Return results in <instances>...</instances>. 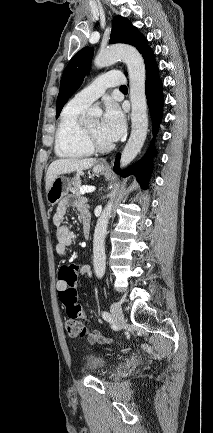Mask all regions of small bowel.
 I'll list each match as a JSON object with an SVG mask.
<instances>
[{"mask_svg":"<svg viewBox=\"0 0 213 433\" xmlns=\"http://www.w3.org/2000/svg\"><path fill=\"white\" fill-rule=\"evenodd\" d=\"M71 205L75 206L79 212L82 228H84V226H90L91 216L85 201L82 199L71 201L69 198H64L58 204L53 216V224L55 226V236L57 241L55 251L59 256H65L67 254L68 249L72 245L75 238L74 231L65 223V216L69 206ZM72 266L75 267L78 274L85 275L87 277L92 276V268L89 264ZM63 288L64 284L59 280L57 282V289L61 291ZM84 317H86V315H84ZM88 340L90 342H98L101 344H105L110 341L108 338L102 336L99 332H97V338L95 340H91L89 336Z\"/></svg>","mask_w":213,"mask_h":433,"instance_id":"small-bowel-1","label":"small bowel"}]
</instances>
